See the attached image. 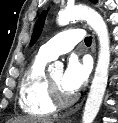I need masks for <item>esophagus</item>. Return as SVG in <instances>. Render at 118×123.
I'll return each mask as SVG.
<instances>
[{
  "mask_svg": "<svg viewBox=\"0 0 118 123\" xmlns=\"http://www.w3.org/2000/svg\"><path fill=\"white\" fill-rule=\"evenodd\" d=\"M92 52H93V53L96 52L95 40H93V44H92Z\"/></svg>",
  "mask_w": 118,
  "mask_h": 123,
  "instance_id": "1",
  "label": "esophagus"
}]
</instances>
